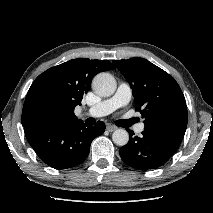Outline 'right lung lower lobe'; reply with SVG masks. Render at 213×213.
I'll use <instances>...</instances> for the list:
<instances>
[{
	"mask_svg": "<svg viewBox=\"0 0 213 213\" xmlns=\"http://www.w3.org/2000/svg\"><path fill=\"white\" fill-rule=\"evenodd\" d=\"M104 131L105 124L101 121L95 126L79 121L60 128L37 125L24 128L27 141L37 155L55 169H67L82 163L89 154L93 139Z\"/></svg>",
	"mask_w": 213,
	"mask_h": 213,
	"instance_id": "1",
	"label": "right lung lower lobe"
}]
</instances>
